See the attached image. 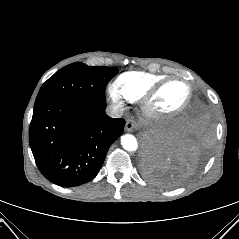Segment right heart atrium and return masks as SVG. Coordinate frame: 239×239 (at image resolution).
Wrapping results in <instances>:
<instances>
[{"mask_svg":"<svg viewBox=\"0 0 239 239\" xmlns=\"http://www.w3.org/2000/svg\"><path fill=\"white\" fill-rule=\"evenodd\" d=\"M108 95L112 103L118 108H122L127 101L126 97L122 94L116 84L109 85Z\"/></svg>","mask_w":239,"mask_h":239,"instance_id":"obj_1","label":"right heart atrium"}]
</instances>
